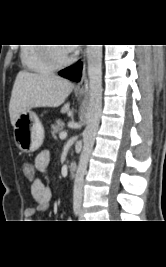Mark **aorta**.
I'll return each mask as SVG.
<instances>
[{"label": "aorta", "mask_w": 166, "mask_h": 267, "mask_svg": "<svg viewBox=\"0 0 166 267\" xmlns=\"http://www.w3.org/2000/svg\"><path fill=\"white\" fill-rule=\"evenodd\" d=\"M87 63L89 76V107L87 110V126L83 133V150L76 170L73 199L81 201L84 176L89 157L93 150L95 137L99 128L102 111V45H87Z\"/></svg>", "instance_id": "762f6f07"}]
</instances>
